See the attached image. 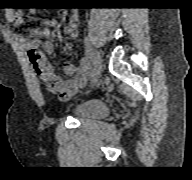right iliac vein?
<instances>
[{"mask_svg": "<svg viewBox=\"0 0 192 180\" xmlns=\"http://www.w3.org/2000/svg\"><path fill=\"white\" fill-rule=\"evenodd\" d=\"M94 55H95V64H94V69H93V73H92V79H91V85L94 86L101 74V59L99 56V53L97 51H93Z\"/></svg>", "mask_w": 192, "mask_h": 180, "instance_id": "1", "label": "right iliac vein"}]
</instances>
